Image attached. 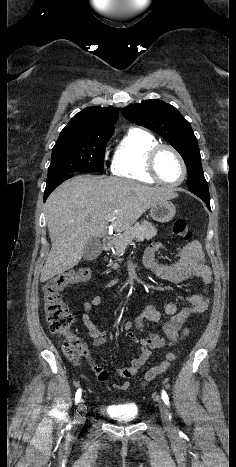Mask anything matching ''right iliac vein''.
I'll return each instance as SVG.
<instances>
[{
    "mask_svg": "<svg viewBox=\"0 0 236 467\" xmlns=\"http://www.w3.org/2000/svg\"><path fill=\"white\" fill-rule=\"evenodd\" d=\"M85 410H86V406H85L84 400H81L78 405V414L76 415V419H75L76 424H81L84 421V416L81 413L84 412Z\"/></svg>",
    "mask_w": 236,
    "mask_h": 467,
    "instance_id": "63e3f726",
    "label": "right iliac vein"
}]
</instances>
